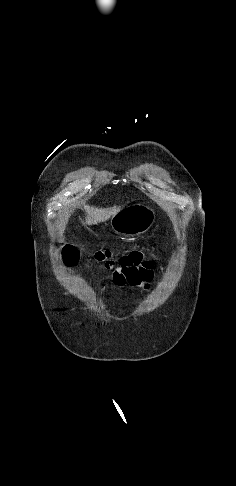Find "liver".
<instances>
[{
	"instance_id": "1",
	"label": "liver",
	"mask_w": 236,
	"mask_h": 486,
	"mask_svg": "<svg viewBox=\"0 0 236 486\" xmlns=\"http://www.w3.org/2000/svg\"><path fill=\"white\" fill-rule=\"evenodd\" d=\"M84 210L87 215L85 218V222L83 223L87 225H92L100 222H105L111 216L115 215L120 210V207L114 206L111 208H97L85 205Z\"/></svg>"
}]
</instances>
